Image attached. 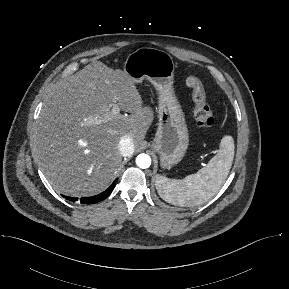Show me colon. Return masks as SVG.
I'll list each match as a JSON object with an SVG mask.
<instances>
[{
	"label": "colon",
	"instance_id": "colon-1",
	"mask_svg": "<svg viewBox=\"0 0 289 289\" xmlns=\"http://www.w3.org/2000/svg\"><path fill=\"white\" fill-rule=\"evenodd\" d=\"M186 84L191 90L197 126L201 129L211 128L214 124V116L201 80L191 74L187 77Z\"/></svg>",
	"mask_w": 289,
	"mask_h": 289
}]
</instances>
